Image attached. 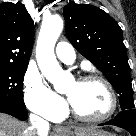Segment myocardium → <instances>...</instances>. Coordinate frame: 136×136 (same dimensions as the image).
Here are the masks:
<instances>
[{"label": "myocardium", "mask_w": 136, "mask_h": 136, "mask_svg": "<svg viewBox=\"0 0 136 136\" xmlns=\"http://www.w3.org/2000/svg\"><path fill=\"white\" fill-rule=\"evenodd\" d=\"M88 81H98L102 83L108 91L110 97V106L109 109L102 115L97 117H87L80 114L69 102V111L79 121L86 123H100L109 119L116 111L117 108V95L113 85L105 77L98 74H86L78 78L77 82H88Z\"/></svg>", "instance_id": "1"}]
</instances>
